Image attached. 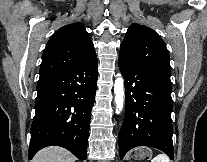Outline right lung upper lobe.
Masks as SVG:
<instances>
[{"label":"right lung upper lobe","mask_w":207,"mask_h":162,"mask_svg":"<svg viewBox=\"0 0 207 162\" xmlns=\"http://www.w3.org/2000/svg\"><path fill=\"white\" fill-rule=\"evenodd\" d=\"M94 59V46L84 25H65L52 35L46 45L39 71L40 78Z\"/></svg>","instance_id":"cb5924a9"}]
</instances>
